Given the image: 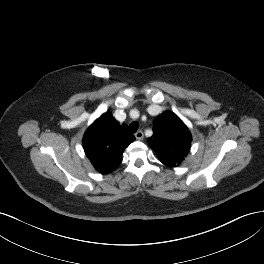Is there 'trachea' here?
<instances>
[{
    "mask_svg": "<svg viewBox=\"0 0 264 264\" xmlns=\"http://www.w3.org/2000/svg\"><path fill=\"white\" fill-rule=\"evenodd\" d=\"M138 130V124L136 122H132L129 125V131L130 133H135Z\"/></svg>",
    "mask_w": 264,
    "mask_h": 264,
    "instance_id": "trachea-1",
    "label": "trachea"
}]
</instances>
